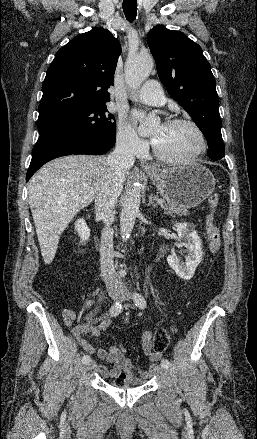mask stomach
Here are the masks:
<instances>
[{
  "mask_svg": "<svg viewBox=\"0 0 257 439\" xmlns=\"http://www.w3.org/2000/svg\"><path fill=\"white\" fill-rule=\"evenodd\" d=\"M147 175L166 200L186 209L201 204L215 189L214 175L200 164L157 169Z\"/></svg>",
  "mask_w": 257,
  "mask_h": 439,
  "instance_id": "stomach-1",
  "label": "stomach"
}]
</instances>
